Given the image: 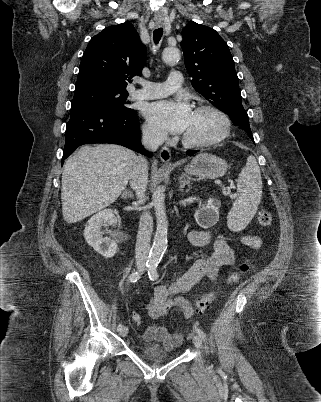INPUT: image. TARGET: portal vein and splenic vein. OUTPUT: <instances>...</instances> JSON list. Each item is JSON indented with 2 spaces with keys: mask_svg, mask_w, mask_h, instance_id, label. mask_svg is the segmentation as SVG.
Returning a JSON list of instances; mask_svg holds the SVG:
<instances>
[{
  "mask_svg": "<svg viewBox=\"0 0 321 402\" xmlns=\"http://www.w3.org/2000/svg\"><path fill=\"white\" fill-rule=\"evenodd\" d=\"M232 188H234L233 184L230 185L229 189H232ZM230 196H231V197H235L236 195H235V194H231Z\"/></svg>",
  "mask_w": 321,
  "mask_h": 402,
  "instance_id": "portal-vein-and-splenic-vein-1",
  "label": "portal vein and splenic vein"
}]
</instances>
